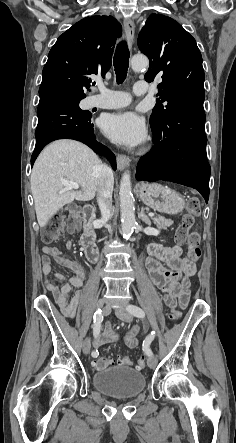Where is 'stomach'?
I'll list each match as a JSON object with an SVG mask.
<instances>
[{
  "label": "stomach",
  "instance_id": "1",
  "mask_svg": "<svg viewBox=\"0 0 236 443\" xmlns=\"http://www.w3.org/2000/svg\"><path fill=\"white\" fill-rule=\"evenodd\" d=\"M138 195L144 204L160 213L176 215L185 207V200L178 192L158 183L141 184Z\"/></svg>",
  "mask_w": 236,
  "mask_h": 443
}]
</instances>
